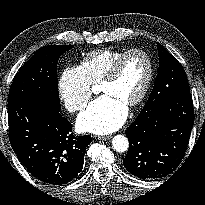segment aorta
I'll use <instances>...</instances> for the list:
<instances>
[{
  "label": "aorta",
  "mask_w": 205,
  "mask_h": 205,
  "mask_svg": "<svg viewBox=\"0 0 205 205\" xmlns=\"http://www.w3.org/2000/svg\"><path fill=\"white\" fill-rule=\"evenodd\" d=\"M112 147L117 152H125L129 148V141L128 139L123 135H116L112 139Z\"/></svg>",
  "instance_id": "1"
}]
</instances>
